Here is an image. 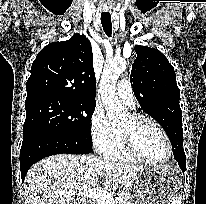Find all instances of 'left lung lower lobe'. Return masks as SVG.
Instances as JSON below:
<instances>
[{"mask_svg": "<svg viewBox=\"0 0 206 204\" xmlns=\"http://www.w3.org/2000/svg\"><path fill=\"white\" fill-rule=\"evenodd\" d=\"M173 154L176 161H178L181 170L184 172L186 168V156L184 150L181 148H173Z\"/></svg>", "mask_w": 206, "mask_h": 204, "instance_id": "left-lung-lower-lobe-1", "label": "left lung lower lobe"}]
</instances>
